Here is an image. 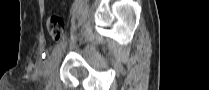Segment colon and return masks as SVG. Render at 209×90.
I'll return each mask as SVG.
<instances>
[{"mask_svg": "<svg viewBox=\"0 0 209 90\" xmlns=\"http://www.w3.org/2000/svg\"><path fill=\"white\" fill-rule=\"evenodd\" d=\"M47 28H48V32L50 36L53 39H56V40L61 39L65 31L64 19L57 14H52L48 18Z\"/></svg>", "mask_w": 209, "mask_h": 90, "instance_id": "obj_1", "label": "colon"}]
</instances>
